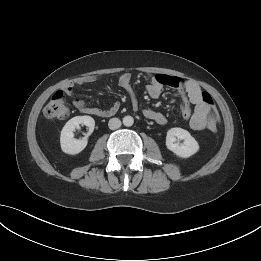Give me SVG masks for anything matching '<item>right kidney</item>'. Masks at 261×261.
I'll use <instances>...</instances> for the list:
<instances>
[{"instance_id": "right-kidney-1", "label": "right kidney", "mask_w": 261, "mask_h": 261, "mask_svg": "<svg viewBox=\"0 0 261 261\" xmlns=\"http://www.w3.org/2000/svg\"><path fill=\"white\" fill-rule=\"evenodd\" d=\"M86 125L89 128L88 134L82 139L74 138V131L80 126ZM95 121L90 116H76L70 119L61 131L60 144L64 153L75 155L80 153L87 146V137L93 132Z\"/></svg>"}]
</instances>
